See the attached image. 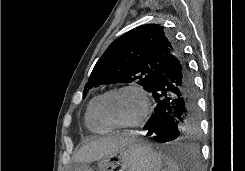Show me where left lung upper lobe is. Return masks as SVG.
<instances>
[{"label":"left lung upper lobe","instance_id":"obj_1","mask_svg":"<svg viewBox=\"0 0 245 171\" xmlns=\"http://www.w3.org/2000/svg\"><path fill=\"white\" fill-rule=\"evenodd\" d=\"M179 48L174 37L159 24H146L123 34L97 61L85 89L102 84L137 82L150 92L162 74L165 60Z\"/></svg>","mask_w":245,"mask_h":171}]
</instances>
